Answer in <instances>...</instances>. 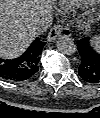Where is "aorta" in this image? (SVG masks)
<instances>
[{
  "label": "aorta",
  "mask_w": 100,
  "mask_h": 118,
  "mask_svg": "<svg viewBox=\"0 0 100 118\" xmlns=\"http://www.w3.org/2000/svg\"><path fill=\"white\" fill-rule=\"evenodd\" d=\"M57 48L65 55H73L76 52V45L68 36H61L57 40Z\"/></svg>",
  "instance_id": "762f6f07"
}]
</instances>
